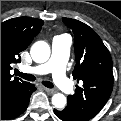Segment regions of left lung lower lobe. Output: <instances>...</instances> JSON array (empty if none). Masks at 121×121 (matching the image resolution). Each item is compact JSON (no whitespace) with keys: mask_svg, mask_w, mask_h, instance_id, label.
<instances>
[{"mask_svg":"<svg viewBox=\"0 0 121 121\" xmlns=\"http://www.w3.org/2000/svg\"><path fill=\"white\" fill-rule=\"evenodd\" d=\"M54 113L63 121H88L90 119L79 115L77 112L67 106L62 111L54 110Z\"/></svg>","mask_w":121,"mask_h":121,"instance_id":"left-lung-lower-lobe-1","label":"left lung lower lobe"}]
</instances>
